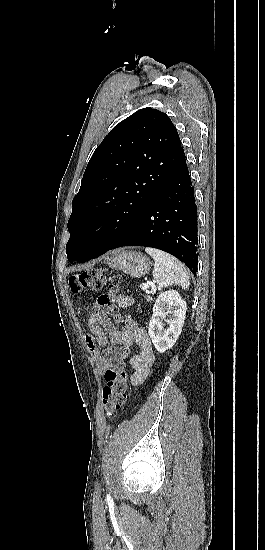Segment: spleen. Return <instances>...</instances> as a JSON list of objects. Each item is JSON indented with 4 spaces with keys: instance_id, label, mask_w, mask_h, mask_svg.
Wrapping results in <instances>:
<instances>
[{
    "instance_id": "1",
    "label": "spleen",
    "mask_w": 265,
    "mask_h": 550,
    "mask_svg": "<svg viewBox=\"0 0 265 550\" xmlns=\"http://www.w3.org/2000/svg\"><path fill=\"white\" fill-rule=\"evenodd\" d=\"M145 251L155 261L152 274L159 288L173 284H178L183 289L189 287V275L180 261L159 249L146 247Z\"/></svg>"
}]
</instances>
